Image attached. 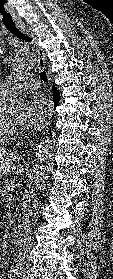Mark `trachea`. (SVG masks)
<instances>
[{
  "instance_id": "3493384b",
  "label": "trachea",
  "mask_w": 113,
  "mask_h": 279,
  "mask_svg": "<svg viewBox=\"0 0 113 279\" xmlns=\"http://www.w3.org/2000/svg\"><path fill=\"white\" fill-rule=\"evenodd\" d=\"M6 28L16 37L26 41V42H31L32 39L27 36L26 34H24L21 30H19L15 25H11V26H6ZM41 79L46 82L47 81V75L46 72L43 71L40 74Z\"/></svg>"
}]
</instances>
